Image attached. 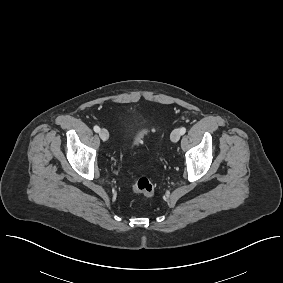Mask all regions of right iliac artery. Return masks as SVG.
Masks as SVG:
<instances>
[{"instance_id": "82829eb1", "label": "right iliac artery", "mask_w": 283, "mask_h": 283, "mask_svg": "<svg viewBox=\"0 0 283 283\" xmlns=\"http://www.w3.org/2000/svg\"><path fill=\"white\" fill-rule=\"evenodd\" d=\"M93 129H94V131H95V132H97V133L100 131L99 126H94V128H93Z\"/></svg>"}]
</instances>
